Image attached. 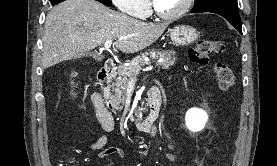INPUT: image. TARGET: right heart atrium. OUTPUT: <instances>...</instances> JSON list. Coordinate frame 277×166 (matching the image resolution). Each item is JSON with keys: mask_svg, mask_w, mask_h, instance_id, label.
Returning <instances> with one entry per match:
<instances>
[{"mask_svg": "<svg viewBox=\"0 0 277 166\" xmlns=\"http://www.w3.org/2000/svg\"><path fill=\"white\" fill-rule=\"evenodd\" d=\"M112 3L123 13L140 17L149 9L148 0H112Z\"/></svg>", "mask_w": 277, "mask_h": 166, "instance_id": "obj_1", "label": "right heart atrium"}]
</instances>
